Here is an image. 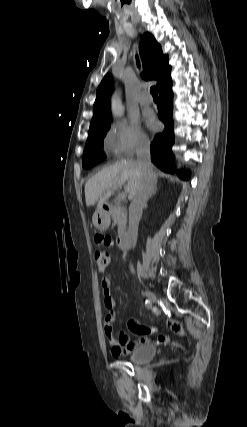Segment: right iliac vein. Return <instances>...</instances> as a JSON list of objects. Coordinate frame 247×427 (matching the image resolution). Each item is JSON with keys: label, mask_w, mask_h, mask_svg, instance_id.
<instances>
[{"label": "right iliac vein", "mask_w": 247, "mask_h": 427, "mask_svg": "<svg viewBox=\"0 0 247 427\" xmlns=\"http://www.w3.org/2000/svg\"><path fill=\"white\" fill-rule=\"evenodd\" d=\"M145 295L147 296L148 300L151 303H155L157 301V297L154 293H152L151 291H145Z\"/></svg>", "instance_id": "right-iliac-vein-1"}]
</instances>
